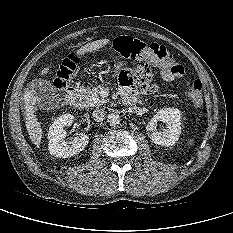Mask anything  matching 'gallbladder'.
<instances>
[{
  "instance_id": "gallbladder-1",
  "label": "gallbladder",
  "mask_w": 233,
  "mask_h": 233,
  "mask_svg": "<svg viewBox=\"0 0 233 233\" xmlns=\"http://www.w3.org/2000/svg\"><path fill=\"white\" fill-rule=\"evenodd\" d=\"M30 86L35 94L41 99L44 106L52 108L59 105V97L50 81L36 79L32 81Z\"/></svg>"
}]
</instances>
